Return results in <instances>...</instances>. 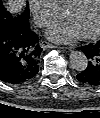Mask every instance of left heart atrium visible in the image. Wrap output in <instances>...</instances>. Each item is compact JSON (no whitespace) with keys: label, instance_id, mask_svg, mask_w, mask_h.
Returning <instances> with one entry per match:
<instances>
[{"label":"left heart atrium","instance_id":"left-heart-atrium-1","mask_svg":"<svg viewBox=\"0 0 100 118\" xmlns=\"http://www.w3.org/2000/svg\"><path fill=\"white\" fill-rule=\"evenodd\" d=\"M81 35L80 28L71 19L54 22L47 31V37L58 43H72Z\"/></svg>","mask_w":100,"mask_h":118}]
</instances>
